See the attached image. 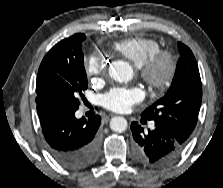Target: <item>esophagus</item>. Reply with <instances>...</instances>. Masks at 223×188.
Segmentation results:
<instances>
[{
    "instance_id": "obj_1",
    "label": "esophagus",
    "mask_w": 223,
    "mask_h": 188,
    "mask_svg": "<svg viewBox=\"0 0 223 188\" xmlns=\"http://www.w3.org/2000/svg\"><path fill=\"white\" fill-rule=\"evenodd\" d=\"M112 117H113V115L106 116V117L104 118V120H105V121H109Z\"/></svg>"
}]
</instances>
